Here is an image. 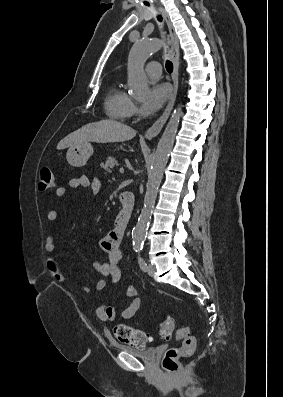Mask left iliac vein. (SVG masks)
Masks as SVG:
<instances>
[{"label": "left iliac vein", "mask_w": 283, "mask_h": 397, "mask_svg": "<svg viewBox=\"0 0 283 397\" xmlns=\"http://www.w3.org/2000/svg\"><path fill=\"white\" fill-rule=\"evenodd\" d=\"M147 272H148V274H149L150 276H153V275H154L155 268H154V266H153L152 264H148V266H147Z\"/></svg>", "instance_id": "obj_1"}]
</instances>
